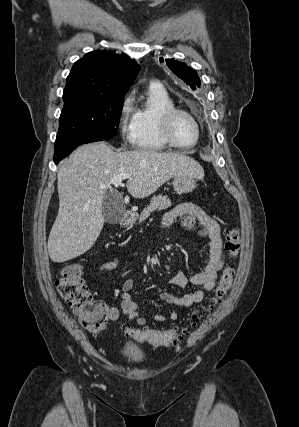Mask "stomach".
Segmentation results:
<instances>
[{
    "label": "stomach",
    "mask_w": 299,
    "mask_h": 427,
    "mask_svg": "<svg viewBox=\"0 0 299 427\" xmlns=\"http://www.w3.org/2000/svg\"><path fill=\"white\" fill-rule=\"evenodd\" d=\"M196 179L190 175L175 176L172 182L173 188L178 194H188L196 188Z\"/></svg>",
    "instance_id": "1"
}]
</instances>
